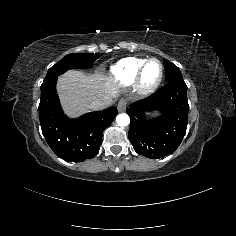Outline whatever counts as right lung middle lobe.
Segmentation results:
<instances>
[{
    "instance_id": "1",
    "label": "right lung middle lobe",
    "mask_w": 236,
    "mask_h": 236,
    "mask_svg": "<svg viewBox=\"0 0 236 236\" xmlns=\"http://www.w3.org/2000/svg\"><path fill=\"white\" fill-rule=\"evenodd\" d=\"M99 56L97 54H89V53H74L68 54L64 58H62L57 64L51 67L47 75L51 74H61L66 72L70 68H91L93 63Z\"/></svg>"
}]
</instances>
